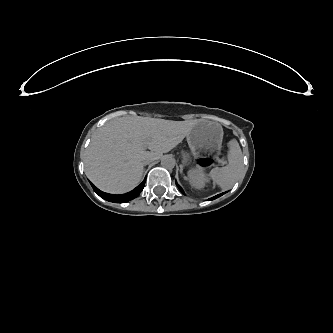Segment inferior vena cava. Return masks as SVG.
I'll use <instances>...</instances> for the list:
<instances>
[{
	"instance_id": "602c4592",
	"label": "inferior vena cava",
	"mask_w": 333,
	"mask_h": 333,
	"mask_svg": "<svg viewBox=\"0 0 333 333\" xmlns=\"http://www.w3.org/2000/svg\"><path fill=\"white\" fill-rule=\"evenodd\" d=\"M154 159L153 158H147V159H144L143 160V165L146 166L148 165L149 163H151Z\"/></svg>"
}]
</instances>
